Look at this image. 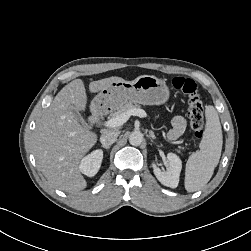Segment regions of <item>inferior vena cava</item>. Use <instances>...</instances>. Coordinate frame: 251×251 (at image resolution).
I'll return each mask as SVG.
<instances>
[{
  "label": "inferior vena cava",
  "instance_id": "inferior-vena-cava-1",
  "mask_svg": "<svg viewBox=\"0 0 251 251\" xmlns=\"http://www.w3.org/2000/svg\"><path fill=\"white\" fill-rule=\"evenodd\" d=\"M119 136L118 131H108L101 135L100 142L103 146H111Z\"/></svg>",
  "mask_w": 251,
  "mask_h": 251
}]
</instances>
